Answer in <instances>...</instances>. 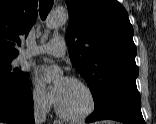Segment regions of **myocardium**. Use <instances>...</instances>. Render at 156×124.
Instances as JSON below:
<instances>
[{
  "instance_id": "myocardium-1",
  "label": "myocardium",
  "mask_w": 156,
  "mask_h": 124,
  "mask_svg": "<svg viewBox=\"0 0 156 124\" xmlns=\"http://www.w3.org/2000/svg\"><path fill=\"white\" fill-rule=\"evenodd\" d=\"M67 79L81 85L87 91L89 100H90L89 106L84 112H82L80 114H68V113L64 112L59 107L57 102L55 101V111L59 117H61L64 120H67V121L85 120V119L89 118L91 115H93L97 110V105H98L97 95H96L94 89L92 88V86L87 81H85L81 78L75 77V76H70Z\"/></svg>"
}]
</instances>
